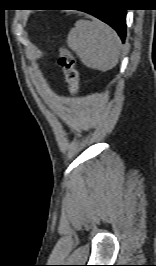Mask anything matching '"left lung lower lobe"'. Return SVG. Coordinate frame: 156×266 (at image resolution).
Masks as SVG:
<instances>
[{
    "instance_id": "left-lung-lower-lobe-1",
    "label": "left lung lower lobe",
    "mask_w": 156,
    "mask_h": 266,
    "mask_svg": "<svg viewBox=\"0 0 156 266\" xmlns=\"http://www.w3.org/2000/svg\"><path fill=\"white\" fill-rule=\"evenodd\" d=\"M94 2L104 4L105 7L84 8L80 10L92 14L110 25L117 31L122 41H124L126 35V10L106 7L109 2L108 0H94Z\"/></svg>"
}]
</instances>
